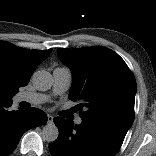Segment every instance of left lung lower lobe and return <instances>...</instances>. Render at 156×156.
I'll use <instances>...</instances> for the list:
<instances>
[{"instance_id":"1","label":"left lung lower lobe","mask_w":156,"mask_h":156,"mask_svg":"<svg viewBox=\"0 0 156 156\" xmlns=\"http://www.w3.org/2000/svg\"><path fill=\"white\" fill-rule=\"evenodd\" d=\"M58 138L50 143L52 156H115L127 129L110 121H86L74 125L64 118H54Z\"/></svg>"}]
</instances>
